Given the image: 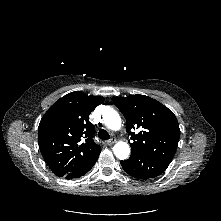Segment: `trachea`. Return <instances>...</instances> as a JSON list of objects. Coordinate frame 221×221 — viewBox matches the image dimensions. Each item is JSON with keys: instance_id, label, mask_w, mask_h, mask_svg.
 <instances>
[{"instance_id": "obj_1", "label": "trachea", "mask_w": 221, "mask_h": 221, "mask_svg": "<svg viewBox=\"0 0 221 221\" xmlns=\"http://www.w3.org/2000/svg\"><path fill=\"white\" fill-rule=\"evenodd\" d=\"M98 136H99V138L101 140H108V139H110L109 133L106 130H104V129H101L99 131Z\"/></svg>"}]
</instances>
